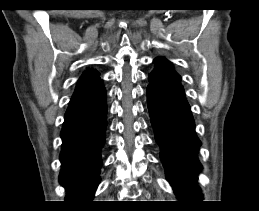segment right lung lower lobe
Masks as SVG:
<instances>
[{"instance_id": "obj_1", "label": "right lung lower lobe", "mask_w": 259, "mask_h": 211, "mask_svg": "<svg viewBox=\"0 0 259 211\" xmlns=\"http://www.w3.org/2000/svg\"><path fill=\"white\" fill-rule=\"evenodd\" d=\"M106 114V91L102 81L70 100L61 131L59 176L68 202L90 200L100 181Z\"/></svg>"}]
</instances>
